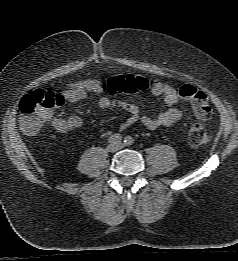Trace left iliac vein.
Here are the masks:
<instances>
[{
	"label": "left iliac vein",
	"mask_w": 238,
	"mask_h": 261,
	"mask_svg": "<svg viewBox=\"0 0 238 261\" xmlns=\"http://www.w3.org/2000/svg\"><path fill=\"white\" fill-rule=\"evenodd\" d=\"M123 147H124V144H123V143H119V144H118V148H119V149H122Z\"/></svg>",
	"instance_id": "4c4485c4"
}]
</instances>
